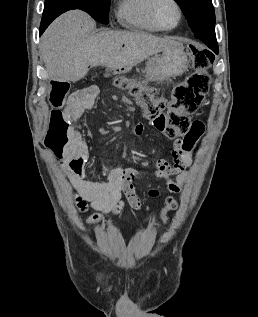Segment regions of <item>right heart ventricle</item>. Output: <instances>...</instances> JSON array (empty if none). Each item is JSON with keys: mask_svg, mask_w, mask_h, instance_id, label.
I'll list each match as a JSON object with an SVG mask.
<instances>
[{"mask_svg": "<svg viewBox=\"0 0 258 317\" xmlns=\"http://www.w3.org/2000/svg\"><path fill=\"white\" fill-rule=\"evenodd\" d=\"M155 0H122L117 8V21L124 27L156 33L159 29L150 17V10Z\"/></svg>", "mask_w": 258, "mask_h": 317, "instance_id": "e07e8e85", "label": "right heart ventricle"}]
</instances>
